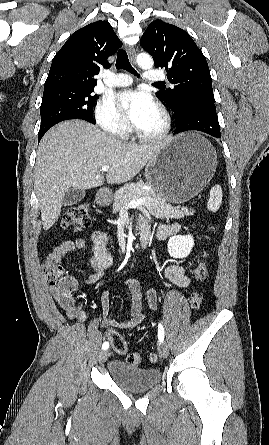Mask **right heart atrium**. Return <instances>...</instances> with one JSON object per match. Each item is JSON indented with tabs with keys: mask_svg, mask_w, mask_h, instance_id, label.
<instances>
[{
	"mask_svg": "<svg viewBox=\"0 0 269 445\" xmlns=\"http://www.w3.org/2000/svg\"><path fill=\"white\" fill-rule=\"evenodd\" d=\"M94 115L99 127L109 134L124 137L129 132L127 118L110 97H104L97 102Z\"/></svg>",
	"mask_w": 269,
	"mask_h": 445,
	"instance_id": "d8ad5b80",
	"label": "right heart atrium"
}]
</instances>
